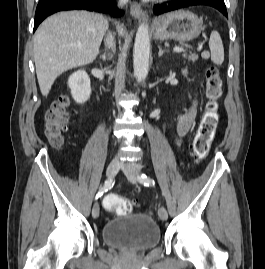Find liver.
I'll return each instance as SVG.
<instances>
[{
  "mask_svg": "<svg viewBox=\"0 0 265 269\" xmlns=\"http://www.w3.org/2000/svg\"><path fill=\"white\" fill-rule=\"evenodd\" d=\"M107 28V19L87 11L60 12L41 23L34 35L33 51L43 96L63 72L96 59Z\"/></svg>",
  "mask_w": 265,
  "mask_h": 269,
  "instance_id": "1",
  "label": "liver"
}]
</instances>
